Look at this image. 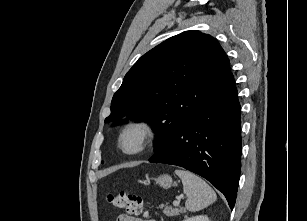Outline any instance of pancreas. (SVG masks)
I'll use <instances>...</instances> for the list:
<instances>
[{"mask_svg":"<svg viewBox=\"0 0 307 221\" xmlns=\"http://www.w3.org/2000/svg\"><path fill=\"white\" fill-rule=\"evenodd\" d=\"M160 208L163 209V212L166 216L168 217H173V216H177L179 215L180 213H185L186 210L184 208H172L170 206H163V205H160Z\"/></svg>","mask_w":307,"mask_h":221,"instance_id":"1","label":"pancreas"}]
</instances>
